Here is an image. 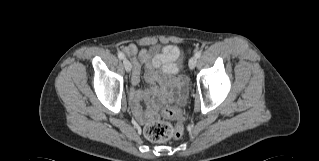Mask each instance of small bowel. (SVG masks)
<instances>
[{"mask_svg": "<svg viewBox=\"0 0 319 161\" xmlns=\"http://www.w3.org/2000/svg\"><path fill=\"white\" fill-rule=\"evenodd\" d=\"M122 51L131 59L132 64H133V75H132V84L133 85H138L140 80H141V61H147L148 60V54L145 50H141L139 52V58H136L137 54V47L135 44H129L127 46H124L122 48ZM164 56L161 58H158L156 60V64H159L162 61H165L169 58H172L176 55L177 51L176 48L172 45L165 46L163 49ZM170 70L173 71V68L170 67ZM154 73L149 68L146 72L145 79L149 83H153L154 81ZM161 92V96L157 99L155 103L151 105L147 113H144L141 106L139 105V101L152 97L156 94ZM130 99L132 102V110L136 117H138L142 121H147V120H152L155 118V108L158 102L163 101V100H177V94L172 87H165L160 89L159 87L152 85L149 88L145 89H137V90H132L130 93Z\"/></svg>", "mask_w": 319, "mask_h": 161, "instance_id": "c3829d8e", "label": "small bowel"}]
</instances>
